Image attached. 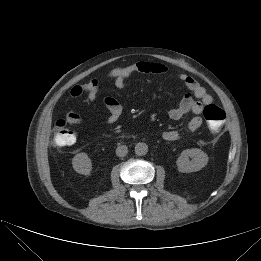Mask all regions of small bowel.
<instances>
[{
    "label": "small bowel",
    "instance_id": "c3829d8e",
    "mask_svg": "<svg viewBox=\"0 0 261 261\" xmlns=\"http://www.w3.org/2000/svg\"><path fill=\"white\" fill-rule=\"evenodd\" d=\"M166 71L167 68L160 63L139 61L130 65L112 69L106 75V79L113 80L115 87L122 89L124 88L127 79L134 74H162ZM178 79L185 85L189 93L184 96L178 106L169 110V117L172 120H180L185 115L192 113L193 116L187 123L186 129L189 131H196L202 125L201 113L203 108L212 103V96L190 75L181 73L178 75ZM99 91L100 80L91 79L86 83L74 85L70 89V96L72 98H78L83 94H86L88 103L93 104L97 100ZM103 103L109 112L105 122L107 124L115 123L122 114L121 104L113 97H105ZM65 118L68 123L74 125L82 124L85 121L84 117L75 111H68ZM179 137L180 133L176 129H170L163 133V139L168 142L176 141Z\"/></svg>",
    "mask_w": 261,
    "mask_h": 261
}]
</instances>
